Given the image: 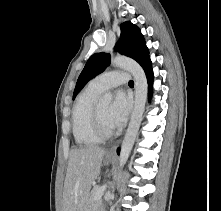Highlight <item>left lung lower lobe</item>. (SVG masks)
Segmentation results:
<instances>
[{
    "mask_svg": "<svg viewBox=\"0 0 221 211\" xmlns=\"http://www.w3.org/2000/svg\"><path fill=\"white\" fill-rule=\"evenodd\" d=\"M142 67L145 71L149 83V98H150L152 95V83H153V71H152L150 58L142 65ZM117 153H119V149L117 150Z\"/></svg>",
    "mask_w": 221,
    "mask_h": 211,
    "instance_id": "1",
    "label": "left lung lower lobe"
}]
</instances>
